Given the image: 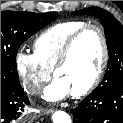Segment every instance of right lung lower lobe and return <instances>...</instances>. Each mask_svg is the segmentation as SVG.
Instances as JSON below:
<instances>
[{
  "label": "right lung lower lobe",
  "instance_id": "right-lung-lower-lobe-1",
  "mask_svg": "<svg viewBox=\"0 0 123 123\" xmlns=\"http://www.w3.org/2000/svg\"><path fill=\"white\" fill-rule=\"evenodd\" d=\"M29 104L21 85H1V123H19L24 107Z\"/></svg>",
  "mask_w": 123,
  "mask_h": 123
}]
</instances>
